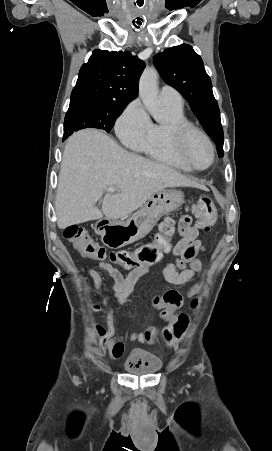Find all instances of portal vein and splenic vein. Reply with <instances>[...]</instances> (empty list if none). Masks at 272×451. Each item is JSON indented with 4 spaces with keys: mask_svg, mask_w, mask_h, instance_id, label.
<instances>
[{
    "mask_svg": "<svg viewBox=\"0 0 272 451\" xmlns=\"http://www.w3.org/2000/svg\"><path fill=\"white\" fill-rule=\"evenodd\" d=\"M107 192H116V188H107Z\"/></svg>",
    "mask_w": 272,
    "mask_h": 451,
    "instance_id": "18ae733b",
    "label": "portal vein and splenic vein"
}]
</instances>
